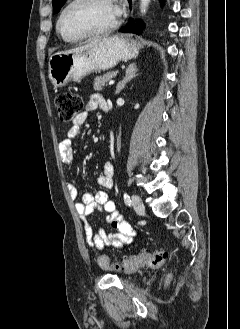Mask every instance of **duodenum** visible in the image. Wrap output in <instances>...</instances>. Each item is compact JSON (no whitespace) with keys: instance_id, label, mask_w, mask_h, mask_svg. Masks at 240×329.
<instances>
[{"instance_id":"obj_1","label":"duodenum","mask_w":240,"mask_h":329,"mask_svg":"<svg viewBox=\"0 0 240 329\" xmlns=\"http://www.w3.org/2000/svg\"><path fill=\"white\" fill-rule=\"evenodd\" d=\"M103 110L108 112L109 111V106L108 103L103 106Z\"/></svg>"}]
</instances>
